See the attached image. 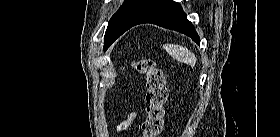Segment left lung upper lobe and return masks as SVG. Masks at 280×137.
<instances>
[{"mask_svg":"<svg viewBox=\"0 0 280 137\" xmlns=\"http://www.w3.org/2000/svg\"><path fill=\"white\" fill-rule=\"evenodd\" d=\"M162 0H126L111 17L104 37V50Z\"/></svg>","mask_w":280,"mask_h":137,"instance_id":"1","label":"left lung upper lobe"}]
</instances>
